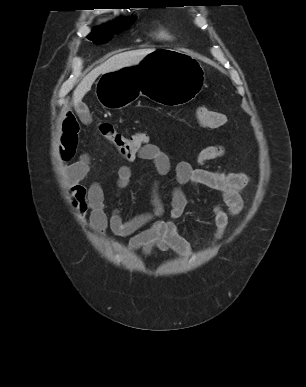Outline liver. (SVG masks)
Segmentation results:
<instances>
[{
  "label": "liver",
  "instance_id": "obj_1",
  "mask_svg": "<svg viewBox=\"0 0 306 387\" xmlns=\"http://www.w3.org/2000/svg\"><path fill=\"white\" fill-rule=\"evenodd\" d=\"M154 49H141L118 53L110 57L107 61L94 68L78 84L73 92V104L77 107L85 94L91 89L92 84L100 74L117 71L125 67L137 65L145 56L153 52Z\"/></svg>",
  "mask_w": 306,
  "mask_h": 387
}]
</instances>
